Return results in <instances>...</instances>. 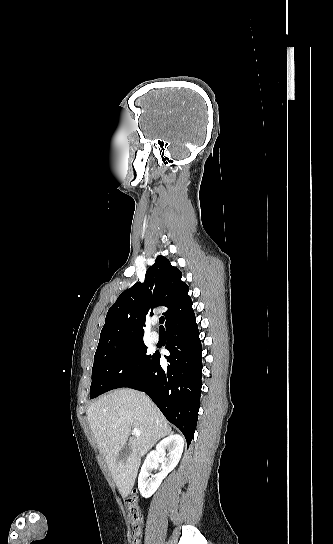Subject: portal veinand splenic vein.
Listing matches in <instances>:
<instances>
[{"mask_svg":"<svg viewBox=\"0 0 333 544\" xmlns=\"http://www.w3.org/2000/svg\"><path fill=\"white\" fill-rule=\"evenodd\" d=\"M133 435H134L135 437H140V435H141L140 430H139L138 428H134V429H133Z\"/></svg>","mask_w":333,"mask_h":544,"instance_id":"1","label":"portal vein and splenic vein"}]
</instances>
